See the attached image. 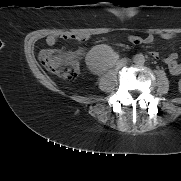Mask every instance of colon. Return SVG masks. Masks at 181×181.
<instances>
[{
	"mask_svg": "<svg viewBox=\"0 0 181 181\" xmlns=\"http://www.w3.org/2000/svg\"><path fill=\"white\" fill-rule=\"evenodd\" d=\"M39 59L43 67L65 81H73L78 75V64L75 56L53 50H43ZM181 92V79L178 83Z\"/></svg>",
	"mask_w": 181,
	"mask_h": 181,
	"instance_id": "5ec220e1",
	"label": "colon"
}]
</instances>
